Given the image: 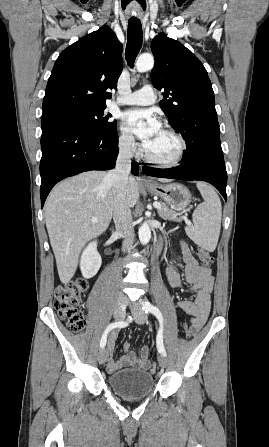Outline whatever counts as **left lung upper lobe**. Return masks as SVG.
I'll use <instances>...</instances> for the list:
<instances>
[{"label":"left lung upper lobe","mask_w":269,"mask_h":447,"mask_svg":"<svg viewBox=\"0 0 269 447\" xmlns=\"http://www.w3.org/2000/svg\"><path fill=\"white\" fill-rule=\"evenodd\" d=\"M151 50L155 57L151 80L156 89L164 90L160 107L186 142L183 159L221 150L214 92L203 64L164 33L152 40Z\"/></svg>","instance_id":"1"}]
</instances>
